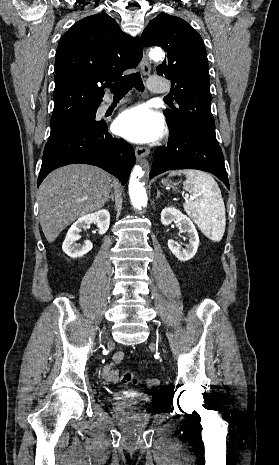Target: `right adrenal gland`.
I'll return each instance as SVG.
<instances>
[{
	"mask_svg": "<svg viewBox=\"0 0 279 465\" xmlns=\"http://www.w3.org/2000/svg\"><path fill=\"white\" fill-rule=\"evenodd\" d=\"M110 199H111L112 201H114V196H113V192H112V190H111V195L108 197V199H107V201H106V202H109V201H110Z\"/></svg>",
	"mask_w": 279,
	"mask_h": 465,
	"instance_id": "obj_1",
	"label": "right adrenal gland"
}]
</instances>
